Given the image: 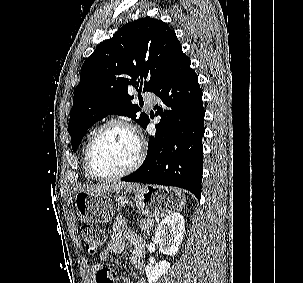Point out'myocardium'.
<instances>
[{"label":"myocardium","instance_id":"1","mask_svg":"<svg viewBox=\"0 0 303 283\" xmlns=\"http://www.w3.org/2000/svg\"><path fill=\"white\" fill-rule=\"evenodd\" d=\"M111 126H121L125 129L129 130L132 133V135L134 136V138L137 142V154H136L134 161L124 170L119 171L117 173L109 174V175H103V174H100L94 166L93 151H94L96 142L99 139V137L101 136V134L107 128H109ZM145 155H146L145 143H144V140H143L142 136L140 135L139 131L136 129V127H134L131 123H129L125 120L115 118V119L108 120L107 122L103 123L100 127H98L95 130V132L93 133V135L88 143L85 157H86V165H87V168H88L90 174L96 180L109 181V180H115V179L125 177V176L131 174L132 172H134L135 170H137L143 163Z\"/></svg>","mask_w":303,"mask_h":283}]
</instances>
